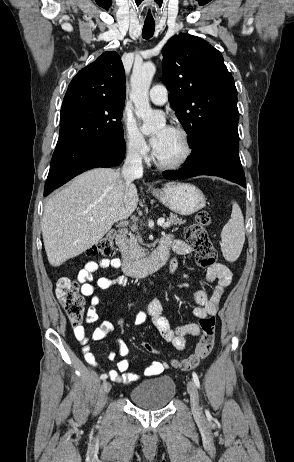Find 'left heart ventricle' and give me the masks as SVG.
Instances as JSON below:
<instances>
[{
    "label": "left heart ventricle",
    "instance_id": "left-heart-ventricle-1",
    "mask_svg": "<svg viewBox=\"0 0 294 462\" xmlns=\"http://www.w3.org/2000/svg\"><path fill=\"white\" fill-rule=\"evenodd\" d=\"M162 128L158 129L160 131ZM184 143L182 137L173 129L164 137L160 148L156 151L158 158L165 162L175 161L184 153Z\"/></svg>",
    "mask_w": 294,
    "mask_h": 462
}]
</instances>
